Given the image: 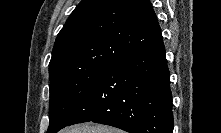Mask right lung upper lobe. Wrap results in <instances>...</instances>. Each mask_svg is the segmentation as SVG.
Returning a JSON list of instances; mask_svg holds the SVG:
<instances>
[{"mask_svg": "<svg viewBox=\"0 0 221 133\" xmlns=\"http://www.w3.org/2000/svg\"><path fill=\"white\" fill-rule=\"evenodd\" d=\"M162 42L149 0H82L56 38L49 75L64 68L112 65Z\"/></svg>", "mask_w": 221, "mask_h": 133, "instance_id": "obj_1", "label": "right lung upper lobe"}]
</instances>
